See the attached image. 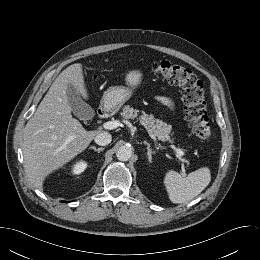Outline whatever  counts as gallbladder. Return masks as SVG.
Listing matches in <instances>:
<instances>
[{"label":"gallbladder","instance_id":"gallbladder-1","mask_svg":"<svg viewBox=\"0 0 260 260\" xmlns=\"http://www.w3.org/2000/svg\"><path fill=\"white\" fill-rule=\"evenodd\" d=\"M67 99L73 114L79 119H91L95 115L93 108L83 101L78 90L71 84L67 87Z\"/></svg>","mask_w":260,"mask_h":260}]
</instances>
